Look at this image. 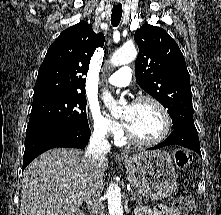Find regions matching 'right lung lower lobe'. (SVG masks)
Wrapping results in <instances>:
<instances>
[{
    "label": "right lung lower lobe",
    "instance_id": "98d812e1",
    "mask_svg": "<svg viewBox=\"0 0 221 215\" xmlns=\"http://www.w3.org/2000/svg\"><path fill=\"white\" fill-rule=\"evenodd\" d=\"M91 136L89 127L75 132L48 129L26 135L22 170L41 153L55 147L84 148Z\"/></svg>",
    "mask_w": 221,
    "mask_h": 215
}]
</instances>
